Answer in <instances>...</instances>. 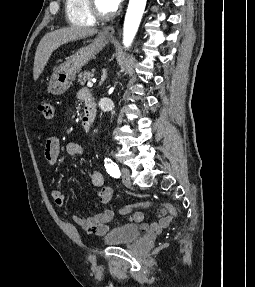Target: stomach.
I'll use <instances>...</instances> for the list:
<instances>
[{"mask_svg": "<svg viewBox=\"0 0 255 287\" xmlns=\"http://www.w3.org/2000/svg\"><path fill=\"white\" fill-rule=\"evenodd\" d=\"M111 38L112 36L109 38V36H100L99 34L98 38H95L91 44L84 46V48H80L75 54H72L64 72H57V70H55L49 82L48 90L50 94L60 96V94L66 92V90L70 88L72 82H74L76 72H79L83 66H86V64L90 62V60H94L96 54H99V52L105 48Z\"/></svg>", "mask_w": 255, "mask_h": 287, "instance_id": "0dacf381", "label": "stomach"}]
</instances>
